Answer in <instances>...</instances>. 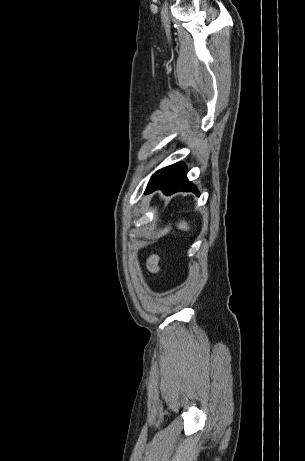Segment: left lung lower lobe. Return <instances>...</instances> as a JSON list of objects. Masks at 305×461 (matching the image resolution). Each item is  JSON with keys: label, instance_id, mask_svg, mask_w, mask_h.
<instances>
[{"label": "left lung lower lobe", "instance_id": "obj_1", "mask_svg": "<svg viewBox=\"0 0 305 461\" xmlns=\"http://www.w3.org/2000/svg\"><path fill=\"white\" fill-rule=\"evenodd\" d=\"M157 189H162L167 195H171L177 191H192L199 196L195 185L186 178V168L181 163L173 164L157 171L151 177L145 194Z\"/></svg>", "mask_w": 305, "mask_h": 461}]
</instances>
